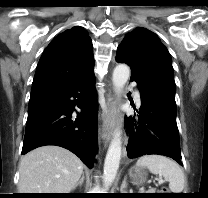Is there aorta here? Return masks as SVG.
<instances>
[{
  "label": "aorta",
  "instance_id": "aorta-1",
  "mask_svg": "<svg viewBox=\"0 0 208 198\" xmlns=\"http://www.w3.org/2000/svg\"><path fill=\"white\" fill-rule=\"evenodd\" d=\"M129 76L130 68L126 64H119L115 67L113 71L112 81L116 93H121L129 79ZM121 152V133L120 131H117L111 140L104 162L103 181L105 188L110 187L116 178L121 159Z\"/></svg>",
  "mask_w": 208,
  "mask_h": 198
}]
</instances>
